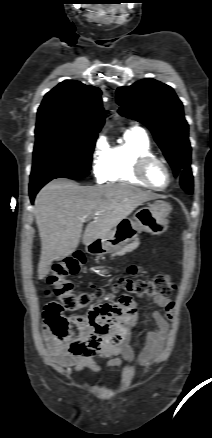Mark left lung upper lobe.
Returning <instances> with one entry per match:
<instances>
[{
	"label": "left lung upper lobe",
	"instance_id": "left-lung-upper-lobe-1",
	"mask_svg": "<svg viewBox=\"0 0 212 438\" xmlns=\"http://www.w3.org/2000/svg\"><path fill=\"white\" fill-rule=\"evenodd\" d=\"M120 115L146 125L171 165L175 176L190 166L191 146L182 102L174 90L154 79L117 89Z\"/></svg>",
	"mask_w": 212,
	"mask_h": 438
}]
</instances>
